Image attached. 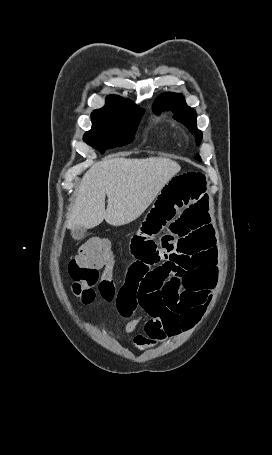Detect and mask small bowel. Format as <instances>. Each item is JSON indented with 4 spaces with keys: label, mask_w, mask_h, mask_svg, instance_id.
Returning <instances> with one entry per match:
<instances>
[{
    "label": "small bowel",
    "mask_w": 272,
    "mask_h": 455,
    "mask_svg": "<svg viewBox=\"0 0 272 455\" xmlns=\"http://www.w3.org/2000/svg\"><path fill=\"white\" fill-rule=\"evenodd\" d=\"M207 184L201 172L175 175L132 238L134 261L115 302L127 334L148 317L133 339L139 350L190 329L211 299L217 247Z\"/></svg>",
    "instance_id": "1"
}]
</instances>
